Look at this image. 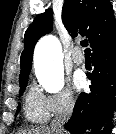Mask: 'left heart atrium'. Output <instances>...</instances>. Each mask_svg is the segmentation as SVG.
Segmentation results:
<instances>
[{
	"instance_id": "obj_1",
	"label": "left heart atrium",
	"mask_w": 116,
	"mask_h": 134,
	"mask_svg": "<svg viewBox=\"0 0 116 134\" xmlns=\"http://www.w3.org/2000/svg\"><path fill=\"white\" fill-rule=\"evenodd\" d=\"M73 84L76 89H81L85 84V78L81 73H76L73 77Z\"/></svg>"
}]
</instances>
